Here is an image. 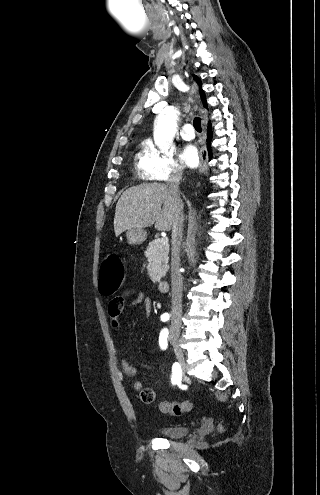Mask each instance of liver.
Returning <instances> with one entry per match:
<instances>
[{
	"instance_id": "6515ba94",
	"label": "liver",
	"mask_w": 320,
	"mask_h": 495,
	"mask_svg": "<svg viewBox=\"0 0 320 495\" xmlns=\"http://www.w3.org/2000/svg\"><path fill=\"white\" fill-rule=\"evenodd\" d=\"M183 208L163 184H142L127 189L116 204L114 231L122 232L149 227L155 223L158 231H170L176 212Z\"/></svg>"
}]
</instances>
